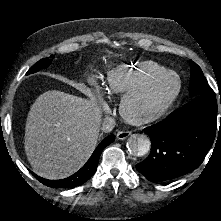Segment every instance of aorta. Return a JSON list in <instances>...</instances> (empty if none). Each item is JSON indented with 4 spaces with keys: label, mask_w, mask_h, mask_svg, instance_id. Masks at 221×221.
<instances>
[{
    "label": "aorta",
    "mask_w": 221,
    "mask_h": 221,
    "mask_svg": "<svg viewBox=\"0 0 221 221\" xmlns=\"http://www.w3.org/2000/svg\"><path fill=\"white\" fill-rule=\"evenodd\" d=\"M150 139L144 135H132L127 140V149L133 156H144L150 151Z\"/></svg>",
    "instance_id": "762f6f07"
}]
</instances>
